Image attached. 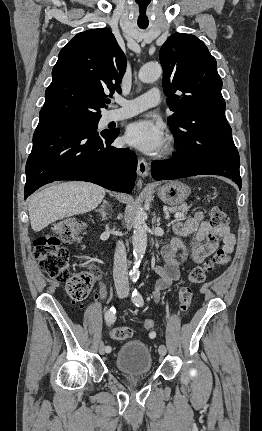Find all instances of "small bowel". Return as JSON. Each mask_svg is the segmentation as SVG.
Segmentation results:
<instances>
[{
	"label": "small bowel",
	"mask_w": 262,
	"mask_h": 431,
	"mask_svg": "<svg viewBox=\"0 0 262 431\" xmlns=\"http://www.w3.org/2000/svg\"><path fill=\"white\" fill-rule=\"evenodd\" d=\"M202 219V212L197 211L192 217L174 225L175 235L161 251L163 263L157 268L158 278L153 288L156 301H159L162 290L180 280V266L188 255H191L194 261L202 262L218 249V240L222 241V248L226 252H232L235 236L230 228L228 226L213 227L208 221H202ZM188 236H193V241L189 245L183 240ZM106 295V288L102 285L99 296L105 298ZM149 336L155 338L156 333L152 331Z\"/></svg>",
	"instance_id": "obj_1"
}]
</instances>
